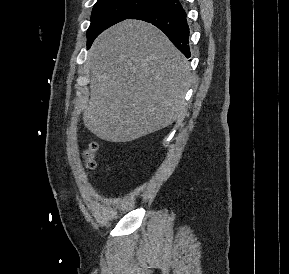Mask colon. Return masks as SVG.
<instances>
[{
    "instance_id": "1",
    "label": "colon",
    "mask_w": 289,
    "mask_h": 274,
    "mask_svg": "<svg viewBox=\"0 0 289 274\" xmlns=\"http://www.w3.org/2000/svg\"><path fill=\"white\" fill-rule=\"evenodd\" d=\"M97 148V143L91 142L84 151L85 163L88 169L95 167V153Z\"/></svg>"
}]
</instances>
